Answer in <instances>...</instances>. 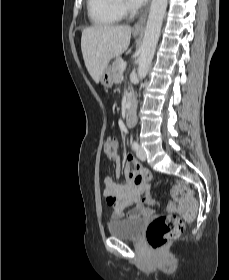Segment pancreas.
<instances>
[{"mask_svg":"<svg viewBox=\"0 0 229 280\" xmlns=\"http://www.w3.org/2000/svg\"><path fill=\"white\" fill-rule=\"evenodd\" d=\"M123 60L117 57L112 63L113 81L114 83H119L122 79L123 71L120 69Z\"/></svg>","mask_w":229,"mask_h":280,"instance_id":"obj_1","label":"pancreas"}]
</instances>
